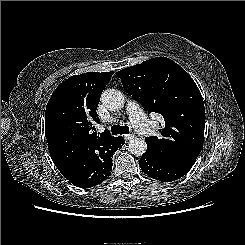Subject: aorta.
I'll return each mask as SVG.
<instances>
[{"label": "aorta", "instance_id": "obj_1", "mask_svg": "<svg viewBox=\"0 0 245 245\" xmlns=\"http://www.w3.org/2000/svg\"><path fill=\"white\" fill-rule=\"evenodd\" d=\"M101 101L110 111H117L124 106L125 97L121 91L107 89L102 93ZM128 150L131 154L142 156L147 150L146 141L141 138H134L129 141Z\"/></svg>", "mask_w": 245, "mask_h": 245}]
</instances>
